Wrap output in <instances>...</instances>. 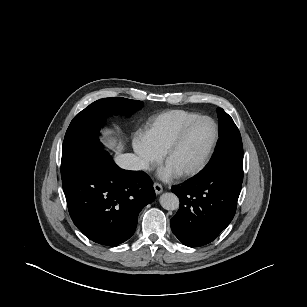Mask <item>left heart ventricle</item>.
Segmentation results:
<instances>
[{"instance_id":"b2bd125f","label":"left heart ventricle","mask_w":307,"mask_h":307,"mask_svg":"<svg viewBox=\"0 0 307 307\" xmlns=\"http://www.w3.org/2000/svg\"><path fill=\"white\" fill-rule=\"evenodd\" d=\"M213 136V125L209 121L199 122L190 129L167 160L166 165L177 173L194 168L203 159Z\"/></svg>"}]
</instances>
